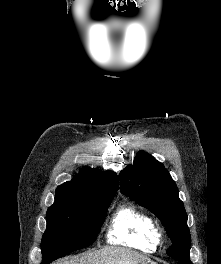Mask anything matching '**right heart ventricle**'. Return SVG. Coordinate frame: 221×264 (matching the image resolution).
Instances as JSON below:
<instances>
[{
    "instance_id": "right-heart-ventricle-1",
    "label": "right heart ventricle",
    "mask_w": 221,
    "mask_h": 264,
    "mask_svg": "<svg viewBox=\"0 0 221 264\" xmlns=\"http://www.w3.org/2000/svg\"><path fill=\"white\" fill-rule=\"evenodd\" d=\"M153 219L137 207L121 205L109 222L106 240L110 244L134 248L143 252H154L159 240Z\"/></svg>"
}]
</instances>
